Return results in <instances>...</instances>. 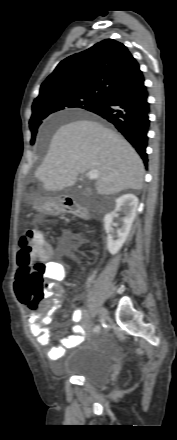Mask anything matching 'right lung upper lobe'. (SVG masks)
I'll list each match as a JSON object with an SVG mask.
<instances>
[{"label": "right lung upper lobe", "mask_w": 177, "mask_h": 440, "mask_svg": "<svg viewBox=\"0 0 177 440\" xmlns=\"http://www.w3.org/2000/svg\"><path fill=\"white\" fill-rule=\"evenodd\" d=\"M140 72L139 64L126 46L113 39L61 61L42 83L32 107L67 93L102 94Z\"/></svg>", "instance_id": "cb5924a9"}]
</instances>
